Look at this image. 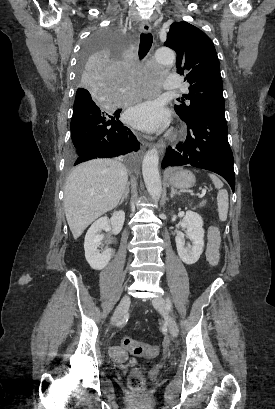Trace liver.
Masks as SVG:
<instances>
[{"mask_svg":"<svg viewBox=\"0 0 275 409\" xmlns=\"http://www.w3.org/2000/svg\"><path fill=\"white\" fill-rule=\"evenodd\" d=\"M127 182V168L115 158H94L73 168L64 188V207L74 239L117 207Z\"/></svg>","mask_w":275,"mask_h":409,"instance_id":"obj_1","label":"liver"}]
</instances>
